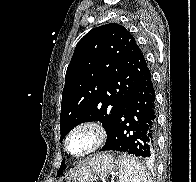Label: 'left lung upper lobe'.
<instances>
[{
	"mask_svg": "<svg viewBox=\"0 0 196 182\" xmlns=\"http://www.w3.org/2000/svg\"><path fill=\"white\" fill-rule=\"evenodd\" d=\"M148 69L134 37L110 23L92 29L77 44L66 71L60 141L75 126L99 120L111 134L119 109ZM65 169L64 161L58 170Z\"/></svg>",
	"mask_w": 196,
	"mask_h": 182,
	"instance_id": "5c2ea615",
	"label": "left lung upper lobe"
}]
</instances>
